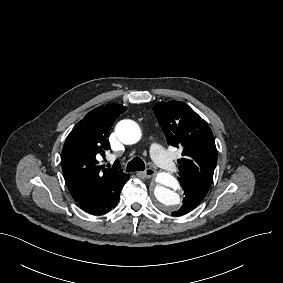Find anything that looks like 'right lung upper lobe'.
<instances>
[{
	"label": "right lung upper lobe",
	"mask_w": 283,
	"mask_h": 283,
	"mask_svg": "<svg viewBox=\"0 0 283 283\" xmlns=\"http://www.w3.org/2000/svg\"><path fill=\"white\" fill-rule=\"evenodd\" d=\"M126 107L108 104L92 110L70 132L62 152V170L72 197L88 191H99L125 175L120 165L110 169L98 166L96 157L109 149L110 128Z\"/></svg>",
	"instance_id": "cb5924a9"
}]
</instances>
